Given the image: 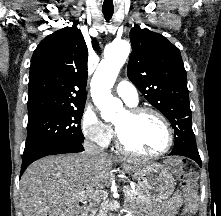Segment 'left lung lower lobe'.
Instances as JSON below:
<instances>
[{
  "label": "left lung lower lobe",
  "mask_w": 221,
  "mask_h": 216,
  "mask_svg": "<svg viewBox=\"0 0 221 216\" xmlns=\"http://www.w3.org/2000/svg\"><path fill=\"white\" fill-rule=\"evenodd\" d=\"M170 155L186 156V157L196 161L199 164V166H201V158H200L199 154H197L193 150L189 149L188 147L185 148V147L176 146V147H174V149L172 150Z\"/></svg>",
  "instance_id": "1"
}]
</instances>
